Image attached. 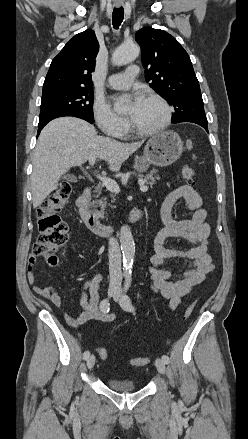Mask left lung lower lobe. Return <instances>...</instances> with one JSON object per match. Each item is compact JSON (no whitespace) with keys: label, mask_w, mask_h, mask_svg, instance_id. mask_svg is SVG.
Segmentation results:
<instances>
[{"label":"left lung lower lobe","mask_w":248,"mask_h":439,"mask_svg":"<svg viewBox=\"0 0 248 439\" xmlns=\"http://www.w3.org/2000/svg\"><path fill=\"white\" fill-rule=\"evenodd\" d=\"M179 122H192V123H196V124L202 126L208 132V122H207V119L186 118V119H181V120L177 121L176 123H179Z\"/></svg>","instance_id":"obj_1"}]
</instances>
